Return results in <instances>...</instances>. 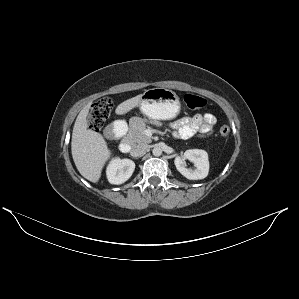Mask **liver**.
<instances>
[{
    "instance_id": "obj_1",
    "label": "liver",
    "mask_w": 299,
    "mask_h": 299,
    "mask_svg": "<svg viewBox=\"0 0 299 299\" xmlns=\"http://www.w3.org/2000/svg\"><path fill=\"white\" fill-rule=\"evenodd\" d=\"M142 94L130 98L116 108L117 114H125L137 107L141 101ZM90 103L78 114L71 141V151L74 163L80 174L91 182L100 179L102 169L111 156V151L103 136L88 129L87 116Z\"/></svg>"
}]
</instances>
